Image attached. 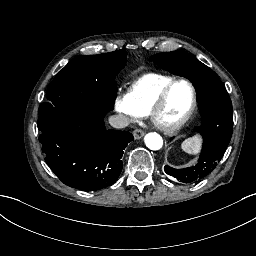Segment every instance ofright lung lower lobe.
Listing matches in <instances>:
<instances>
[{
    "mask_svg": "<svg viewBox=\"0 0 256 256\" xmlns=\"http://www.w3.org/2000/svg\"><path fill=\"white\" fill-rule=\"evenodd\" d=\"M101 112L76 110L38 125L48 166L66 185L95 191L112 185L122 171V155L133 135L106 130Z\"/></svg>",
    "mask_w": 256,
    "mask_h": 256,
    "instance_id": "1",
    "label": "right lung lower lobe"
}]
</instances>
